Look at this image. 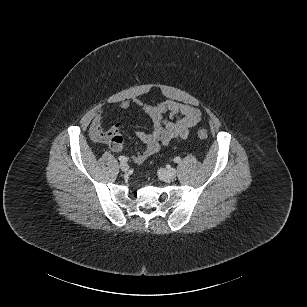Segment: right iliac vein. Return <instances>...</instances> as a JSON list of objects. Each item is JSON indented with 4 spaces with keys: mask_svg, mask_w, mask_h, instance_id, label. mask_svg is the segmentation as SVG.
Here are the masks:
<instances>
[{
    "mask_svg": "<svg viewBox=\"0 0 307 307\" xmlns=\"http://www.w3.org/2000/svg\"><path fill=\"white\" fill-rule=\"evenodd\" d=\"M120 169L123 171V172H127L129 170V166L126 162H122L120 164Z\"/></svg>",
    "mask_w": 307,
    "mask_h": 307,
    "instance_id": "63e3f726",
    "label": "right iliac vein"
}]
</instances>
